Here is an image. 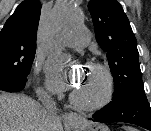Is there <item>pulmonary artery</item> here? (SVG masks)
Instances as JSON below:
<instances>
[{"label": "pulmonary artery", "mask_w": 151, "mask_h": 131, "mask_svg": "<svg viewBox=\"0 0 151 131\" xmlns=\"http://www.w3.org/2000/svg\"><path fill=\"white\" fill-rule=\"evenodd\" d=\"M90 42V33L87 29L79 27L68 36L67 44L74 47H85Z\"/></svg>", "instance_id": "pulmonary-artery-1"}]
</instances>
